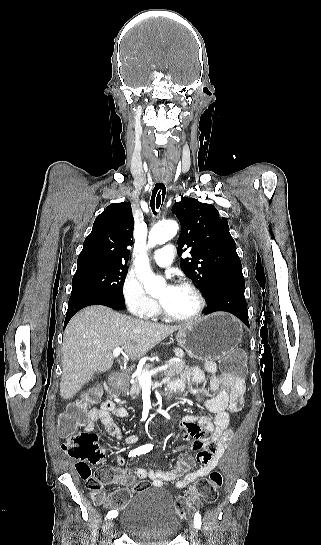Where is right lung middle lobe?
<instances>
[{
  "instance_id": "dd1d6c3e",
  "label": "right lung middle lobe",
  "mask_w": 321,
  "mask_h": 545,
  "mask_svg": "<svg viewBox=\"0 0 321 545\" xmlns=\"http://www.w3.org/2000/svg\"><path fill=\"white\" fill-rule=\"evenodd\" d=\"M127 267L89 265L77 268L72 280V295L95 293L124 300L123 284Z\"/></svg>"
}]
</instances>
